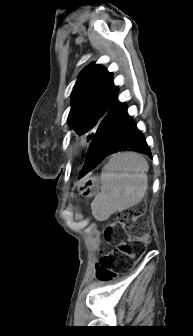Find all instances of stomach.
<instances>
[{
    "label": "stomach",
    "instance_id": "obj_1",
    "mask_svg": "<svg viewBox=\"0 0 193 336\" xmlns=\"http://www.w3.org/2000/svg\"><path fill=\"white\" fill-rule=\"evenodd\" d=\"M80 194L87 198L94 196L100 187V182L97 177H90L79 182L78 185Z\"/></svg>",
    "mask_w": 193,
    "mask_h": 336
}]
</instances>
